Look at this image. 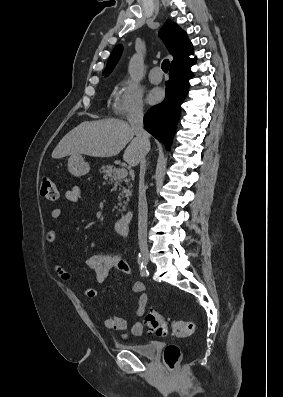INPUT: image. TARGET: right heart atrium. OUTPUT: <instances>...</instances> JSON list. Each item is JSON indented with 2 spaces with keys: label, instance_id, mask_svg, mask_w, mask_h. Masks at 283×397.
I'll list each match as a JSON object with an SVG mask.
<instances>
[{
  "label": "right heart atrium",
  "instance_id": "d8ad5b80",
  "mask_svg": "<svg viewBox=\"0 0 283 397\" xmlns=\"http://www.w3.org/2000/svg\"><path fill=\"white\" fill-rule=\"evenodd\" d=\"M112 112L121 119L138 117L145 112L142 92L130 80H122L113 98Z\"/></svg>",
  "mask_w": 283,
  "mask_h": 397
}]
</instances>
